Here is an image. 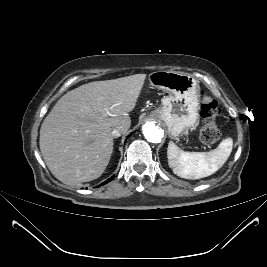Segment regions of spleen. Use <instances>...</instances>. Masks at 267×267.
<instances>
[{"label":"spleen","instance_id":"3e777b00","mask_svg":"<svg viewBox=\"0 0 267 267\" xmlns=\"http://www.w3.org/2000/svg\"><path fill=\"white\" fill-rule=\"evenodd\" d=\"M233 140L226 138L209 152H185L170 141L167 149L169 167L185 179H200L214 174L229 158Z\"/></svg>","mask_w":267,"mask_h":267}]
</instances>
